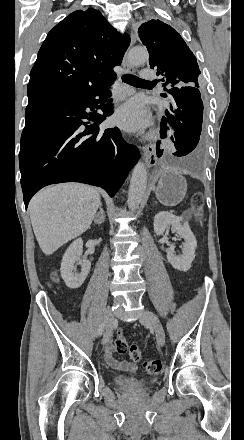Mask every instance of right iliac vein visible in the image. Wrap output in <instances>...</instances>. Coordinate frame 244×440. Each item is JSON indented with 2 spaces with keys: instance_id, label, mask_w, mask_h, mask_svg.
Wrapping results in <instances>:
<instances>
[{
  "instance_id": "63e3f726",
  "label": "right iliac vein",
  "mask_w": 244,
  "mask_h": 440,
  "mask_svg": "<svg viewBox=\"0 0 244 440\" xmlns=\"http://www.w3.org/2000/svg\"><path fill=\"white\" fill-rule=\"evenodd\" d=\"M104 322H105V328H104V336L102 339V344H105L110 340L113 331L114 318H113V312L110 307H108L104 312Z\"/></svg>"
}]
</instances>
